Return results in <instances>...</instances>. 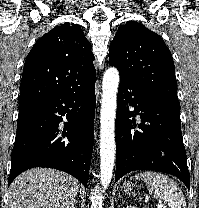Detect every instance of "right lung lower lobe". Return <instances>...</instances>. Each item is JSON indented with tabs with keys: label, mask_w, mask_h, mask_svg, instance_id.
I'll list each match as a JSON object with an SVG mask.
<instances>
[{
	"label": "right lung lower lobe",
	"mask_w": 199,
	"mask_h": 208,
	"mask_svg": "<svg viewBox=\"0 0 199 208\" xmlns=\"http://www.w3.org/2000/svg\"><path fill=\"white\" fill-rule=\"evenodd\" d=\"M95 78L88 84L19 105L8 186L33 167L69 173L85 186L94 143ZM66 119L64 126L60 123Z\"/></svg>",
	"instance_id": "right-lung-lower-lobe-1"
}]
</instances>
